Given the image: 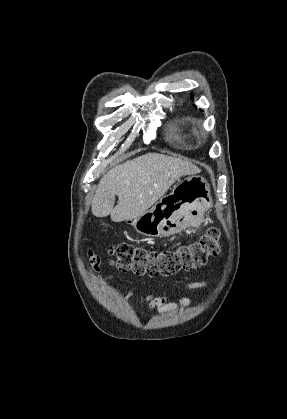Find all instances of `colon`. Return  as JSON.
I'll use <instances>...</instances> for the list:
<instances>
[{
  "label": "colon",
  "instance_id": "5ec220e1",
  "mask_svg": "<svg viewBox=\"0 0 287 419\" xmlns=\"http://www.w3.org/2000/svg\"><path fill=\"white\" fill-rule=\"evenodd\" d=\"M220 252V231L209 228L199 240L175 250H148L122 243L109 248L112 263L122 271L150 277L172 276L201 268Z\"/></svg>",
  "mask_w": 287,
  "mask_h": 419
}]
</instances>
